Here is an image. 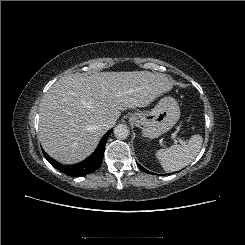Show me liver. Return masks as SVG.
<instances>
[{
    "label": "liver",
    "mask_w": 245,
    "mask_h": 245,
    "mask_svg": "<svg viewBox=\"0 0 245 245\" xmlns=\"http://www.w3.org/2000/svg\"><path fill=\"white\" fill-rule=\"evenodd\" d=\"M172 89L165 74L149 71L67 75L55 82L40 103L39 139L43 149L63 164L87 158L121 111L148 106Z\"/></svg>",
    "instance_id": "obj_1"
}]
</instances>
